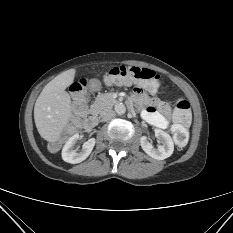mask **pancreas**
<instances>
[{
    "mask_svg": "<svg viewBox=\"0 0 233 233\" xmlns=\"http://www.w3.org/2000/svg\"><path fill=\"white\" fill-rule=\"evenodd\" d=\"M117 103V100L113 98L112 93H102L99 94L94 103L90 106V112L93 115L102 116L106 111L112 109V107Z\"/></svg>",
    "mask_w": 233,
    "mask_h": 233,
    "instance_id": "cf45deb5",
    "label": "pancreas"
}]
</instances>
